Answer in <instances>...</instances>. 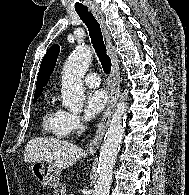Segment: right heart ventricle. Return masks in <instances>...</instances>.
Instances as JSON below:
<instances>
[{"mask_svg": "<svg viewBox=\"0 0 189 195\" xmlns=\"http://www.w3.org/2000/svg\"><path fill=\"white\" fill-rule=\"evenodd\" d=\"M66 117L67 112L58 106L54 100L48 101L42 114V132L57 138L66 137L68 135Z\"/></svg>", "mask_w": 189, "mask_h": 195, "instance_id": "obj_1", "label": "right heart ventricle"}]
</instances>
